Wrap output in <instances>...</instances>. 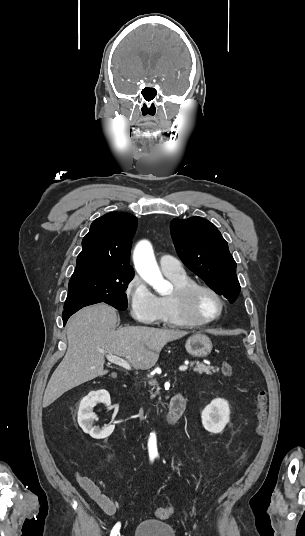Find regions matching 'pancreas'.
<instances>
[{
  "label": "pancreas",
  "mask_w": 305,
  "mask_h": 536,
  "mask_svg": "<svg viewBox=\"0 0 305 536\" xmlns=\"http://www.w3.org/2000/svg\"><path fill=\"white\" fill-rule=\"evenodd\" d=\"M190 366L191 368L195 366V368H193V372H198V374H208V376H211V374L219 372V368H214V366H209V364H200V362H190ZM151 386H156V382H152ZM157 394L158 392L151 394V400H153Z\"/></svg>",
  "instance_id": "1"
}]
</instances>
